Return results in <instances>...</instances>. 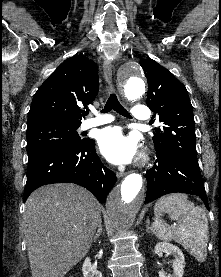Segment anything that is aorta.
I'll return each instance as SVG.
<instances>
[{
  "instance_id": "aorta-1",
  "label": "aorta",
  "mask_w": 221,
  "mask_h": 277,
  "mask_svg": "<svg viewBox=\"0 0 221 277\" xmlns=\"http://www.w3.org/2000/svg\"><path fill=\"white\" fill-rule=\"evenodd\" d=\"M121 90L128 100L135 101L146 90L142 69L137 65H126L119 73ZM143 178L138 173L129 174L108 195L106 209L110 220L120 233L128 232L143 202Z\"/></svg>"
}]
</instances>
